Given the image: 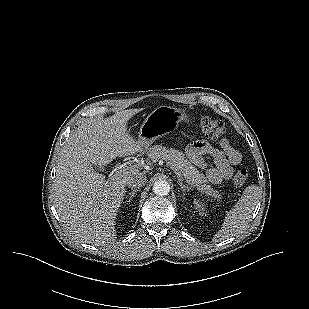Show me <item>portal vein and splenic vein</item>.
<instances>
[{"label": "portal vein and splenic vein", "mask_w": 309, "mask_h": 309, "mask_svg": "<svg viewBox=\"0 0 309 309\" xmlns=\"http://www.w3.org/2000/svg\"><path fill=\"white\" fill-rule=\"evenodd\" d=\"M166 164L168 166H170V168L174 171V173L178 176L181 177V173L170 163V162H166ZM135 168V166H126V167H116L114 169V173H115V177L117 178H121L122 176H124L125 174H127L129 171L133 170Z\"/></svg>", "instance_id": "18ae733b"}]
</instances>
